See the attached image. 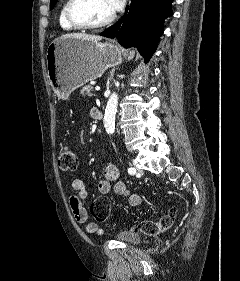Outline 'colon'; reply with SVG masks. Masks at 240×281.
<instances>
[{
  "label": "colon",
  "mask_w": 240,
  "mask_h": 281,
  "mask_svg": "<svg viewBox=\"0 0 240 281\" xmlns=\"http://www.w3.org/2000/svg\"><path fill=\"white\" fill-rule=\"evenodd\" d=\"M58 165L64 171H74L77 167V158L74 151L65 146L61 149L58 157ZM90 211L93 217L99 222H106L110 216V200L105 196L94 199L90 205ZM177 211L171 208L159 221H143L139 225L142 232L146 234H157L170 228L176 218Z\"/></svg>",
  "instance_id": "colon-1"
}]
</instances>
